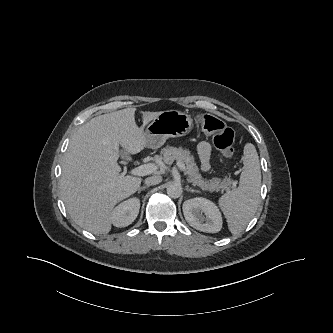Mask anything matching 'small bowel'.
Instances as JSON below:
<instances>
[{"mask_svg":"<svg viewBox=\"0 0 333 333\" xmlns=\"http://www.w3.org/2000/svg\"><path fill=\"white\" fill-rule=\"evenodd\" d=\"M197 150L201 162V169L208 171L210 168V144L206 141H202L199 143Z\"/></svg>","mask_w":333,"mask_h":333,"instance_id":"obj_1","label":"small bowel"}]
</instances>
